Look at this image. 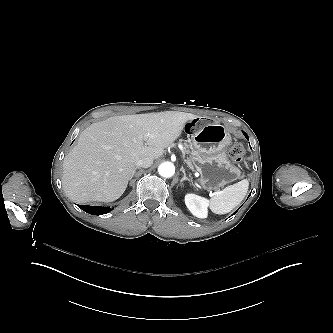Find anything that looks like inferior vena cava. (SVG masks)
I'll list each match as a JSON object with an SVG mask.
<instances>
[{
  "label": "inferior vena cava",
  "instance_id": "1",
  "mask_svg": "<svg viewBox=\"0 0 333 333\" xmlns=\"http://www.w3.org/2000/svg\"><path fill=\"white\" fill-rule=\"evenodd\" d=\"M153 161H154V159L151 157L140 158L137 161L136 166L142 167V168H148L153 164Z\"/></svg>",
  "mask_w": 333,
  "mask_h": 333
}]
</instances>
